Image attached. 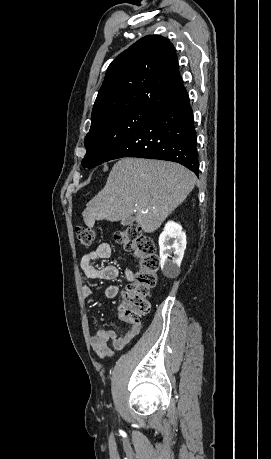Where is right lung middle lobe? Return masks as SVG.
Returning <instances> with one entry per match:
<instances>
[{"mask_svg":"<svg viewBox=\"0 0 271 459\" xmlns=\"http://www.w3.org/2000/svg\"><path fill=\"white\" fill-rule=\"evenodd\" d=\"M148 107H134L102 115L92 120L85 137L87 153L82 166L89 169L103 163L143 122L154 114Z\"/></svg>","mask_w":271,"mask_h":459,"instance_id":"dd1d6c3e","label":"right lung middle lobe"}]
</instances>
